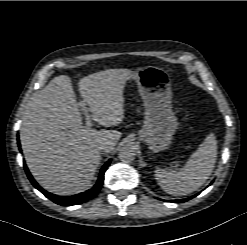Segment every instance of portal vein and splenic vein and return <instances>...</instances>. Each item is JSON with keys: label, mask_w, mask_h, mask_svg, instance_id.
Segmentation results:
<instances>
[{"label": "portal vein and splenic vein", "mask_w": 247, "mask_h": 245, "mask_svg": "<svg viewBox=\"0 0 247 245\" xmlns=\"http://www.w3.org/2000/svg\"><path fill=\"white\" fill-rule=\"evenodd\" d=\"M80 105L83 107V112H84V114H85V116H86V124H85V128L86 129H90L91 128V119H90V116H89V113H88V108L86 107V102L85 101H83V102H81L80 103Z\"/></svg>", "instance_id": "portal-vein-and-splenic-vein-1"}]
</instances>
